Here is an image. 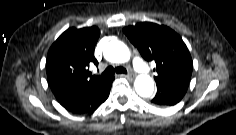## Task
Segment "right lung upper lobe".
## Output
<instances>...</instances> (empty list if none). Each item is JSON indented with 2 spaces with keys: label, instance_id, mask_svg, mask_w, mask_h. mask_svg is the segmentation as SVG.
Returning a JSON list of instances; mask_svg holds the SVG:
<instances>
[{
  "label": "right lung upper lobe",
  "instance_id": "obj_1",
  "mask_svg": "<svg viewBox=\"0 0 236 135\" xmlns=\"http://www.w3.org/2000/svg\"><path fill=\"white\" fill-rule=\"evenodd\" d=\"M100 36L96 26L69 28L50 47L47 55V78L52 91L93 86L106 77L92 75L89 64L98 65L93 55Z\"/></svg>",
  "mask_w": 236,
  "mask_h": 135
}]
</instances>
